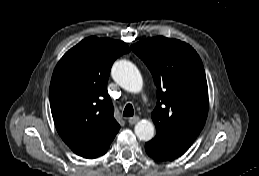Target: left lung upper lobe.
Returning <instances> with one entry per match:
<instances>
[{"label":"left lung upper lobe","mask_w":259,"mask_h":176,"mask_svg":"<svg viewBox=\"0 0 259 176\" xmlns=\"http://www.w3.org/2000/svg\"><path fill=\"white\" fill-rule=\"evenodd\" d=\"M131 49L145 62L157 86L152 112L157 133L148 144L162 155L177 158L191 146L207 118L202 61L190 45L162 36L142 40Z\"/></svg>","instance_id":"1"}]
</instances>
